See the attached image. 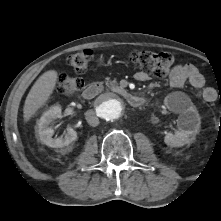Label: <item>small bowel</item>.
I'll use <instances>...</instances> for the list:
<instances>
[{
	"instance_id": "1",
	"label": "small bowel",
	"mask_w": 221,
	"mask_h": 221,
	"mask_svg": "<svg viewBox=\"0 0 221 221\" xmlns=\"http://www.w3.org/2000/svg\"><path fill=\"white\" fill-rule=\"evenodd\" d=\"M135 79L143 82L148 80V75L144 72H137ZM169 82L174 88H180L186 82H189L194 88L198 89L199 95L207 102H214L218 98L216 90L205 87L204 77L199 70L190 63L173 66L169 74Z\"/></svg>"
}]
</instances>
